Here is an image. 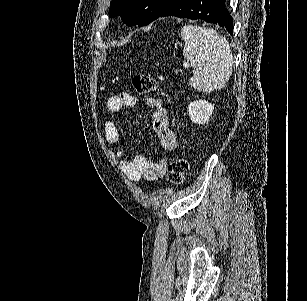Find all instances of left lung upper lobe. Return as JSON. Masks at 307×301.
<instances>
[{"label":"left lung upper lobe","mask_w":307,"mask_h":301,"mask_svg":"<svg viewBox=\"0 0 307 301\" xmlns=\"http://www.w3.org/2000/svg\"><path fill=\"white\" fill-rule=\"evenodd\" d=\"M176 0H112L109 17L121 16L128 26H145L157 19Z\"/></svg>","instance_id":"left-lung-upper-lobe-1"}]
</instances>
